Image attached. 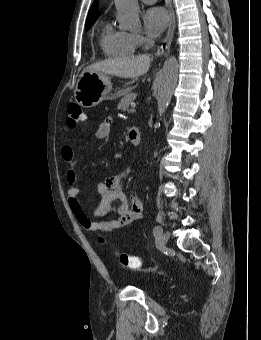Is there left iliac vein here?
<instances>
[{
  "label": "left iliac vein",
  "instance_id": "left-iliac-vein-1",
  "mask_svg": "<svg viewBox=\"0 0 261 340\" xmlns=\"http://www.w3.org/2000/svg\"><path fill=\"white\" fill-rule=\"evenodd\" d=\"M169 236H170V233L168 231L162 234L161 239H160L161 246H165L167 244Z\"/></svg>",
  "mask_w": 261,
  "mask_h": 340
}]
</instances>
